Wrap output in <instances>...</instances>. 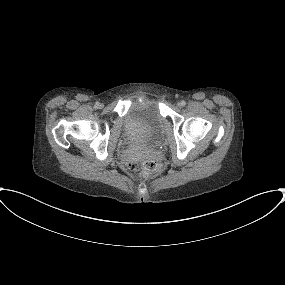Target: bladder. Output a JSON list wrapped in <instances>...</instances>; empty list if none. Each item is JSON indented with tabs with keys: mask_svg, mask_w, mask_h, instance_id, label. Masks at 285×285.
<instances>
[{
	"mask_svg": "<svg viewBox=\"0 0 285 285\" xmlns=\"http://www.w3.org/2000/svg\"><path fill=\"white\" fill-rule=\"evenodd\" d=\"M164 118L159 104L153 99L133 103L123 121V139L128 149L140 142H148L153 149H161L165 143Z\"/></svg>",
	"mask_w": 285,
	"mask_h": 285,
	"instance_id": "obj_1",
	"label": "bladder"
}]
</instances>
